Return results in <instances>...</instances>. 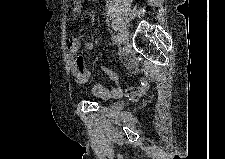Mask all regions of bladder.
<instances>
[{"mask_svg": "<svg viewBox=\"0 0 225 159\" xmlns=\"http://www.w3.org/2000/svg\"><path fill=\"white\" fill-rule=\"evenodd\" d=\"M110 104L113 107V109H121L123 106V104L120 100L110 101Z\"/></svg>", "mask_w": 225, "mask_h": 159, "instance_id": "bladder-1", "label": "bladder"}]
</instances>
